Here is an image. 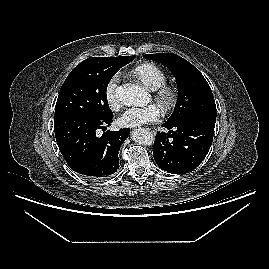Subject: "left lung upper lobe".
I'll return each mask as SVG.
<instances>
[{"label": "left lung upper lobe", "mask_w": 269, "mask_h": 269, "mask_svg": "<svg viewBox=\"0 0 269 269\" xmlns=\"http://www.w3.org/2000/svg\"><path fill=\"white\" fill-rule=\"evenodd\" d=\"M144 57L167 66L177 80L178 99L167 124L175 125L203 112L216 113L209 84L190 62L173 53L146 54Z\"/></svg>", "instance_id": "5c2ea615"}]
</instances>
